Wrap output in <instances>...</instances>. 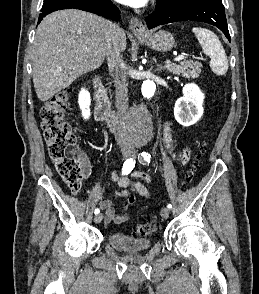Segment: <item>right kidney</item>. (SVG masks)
I'll return each instance as SVG.
<instances>
[{
  "mask_svg": "<svg viewBox=\"0 0 259 294\" xmlns=\"http://www.w3.org/2000/svg\"><path fill=\"white\" fill-rule=\"evenodd\" d=\"M78 103L80 109L82 110V116L84 119H89L90 113V104H91V97L90 93L85 89L82 88L79 93Z\"/></svg>",
  "mask_w": 259,
  "mask_h": 294,
  "instance_id": "right-kidney-1",
  "label": "right kidney"
}]
</instances>
